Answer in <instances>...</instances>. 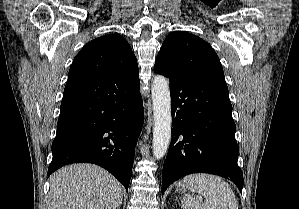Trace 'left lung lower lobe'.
<instances>
[{
	"label": "left lung lower lobe",
	"mask_w": 299,
	"mask_h": 209,
	"mask_svg": "<svg viewBox=\"0 0 299 209\" xmlns=\"http://www.w3.org/2000/svg\"><path fill=\"white\" fill-rule=\"evenodd\" d=\"M167 77L172 96L173 128L163 165L162 193L171 183L192 173L222 176L233 181L242 192L236 126L226 82L198 77Z\"/></svg>",
	"instance_id": "obj_1"
}]
</instances>
